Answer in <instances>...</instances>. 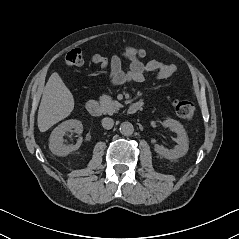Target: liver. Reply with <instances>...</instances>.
Returning a JSON list of instances; mask_svg holds the SVG:
<instances>
[{"instance_id": "liver-1", "label": "liver", "mask_w": 239, "mask_h": 239, "mask_svg": "<svg viewBox=\"0 0 239 239\" xmlns=\"http://www.w3.org/2000/svg\"><path fill=\"white\" fill-rule=\"evenodd\" d=\"M74 109V98L57 72L49 77L38 110L37 124L45 132Z\"/></svg>"}]
</instances>
